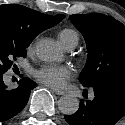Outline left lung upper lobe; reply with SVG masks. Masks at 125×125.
<instances>
[{"label":"left lung upper lobe","instance_id":"obj_1","mask_svg":"<svg viewBox=\"0 0 125 125\" xmlns=\"http://www.w3.org/2000/svg\"><path fill=\"white\" fill-rule=\"evenodd\" d=\"M70 21L82 33L88 57L80 82L94 87L103 82H125V26L111 16L71 15Z\"/></svg>","mask_w":125,"mask_h":125}]
</instances>
